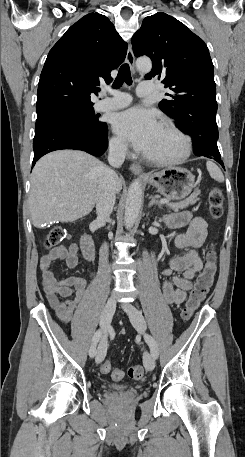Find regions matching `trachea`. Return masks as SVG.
<instances>
[{
    "label": "trachea",
    "instance_id": "3493384b",
    "mask_svg": "<svg viewBox=\"0 0 245 457\" xmlns=\"http://www.w3.org/2000/svg\"><path fill=\"white\" fill-rule=\"evenodd\" d=\"M126 83L127 85H132V77L130 73V68L127 63L122 65L119 69L118 75L112 85L113 88H120L123 83Z\"/></svg>",
    "mask_w": 245,
    "mask_h": 457
}]
</instances>
